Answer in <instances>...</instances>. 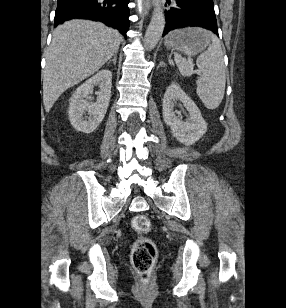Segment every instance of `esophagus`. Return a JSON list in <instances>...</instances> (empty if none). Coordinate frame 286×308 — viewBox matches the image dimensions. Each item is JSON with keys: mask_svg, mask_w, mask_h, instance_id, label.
<instances>
[{"mask_svg": "<svg viewBox=\"0 0 286 308\" xmlns=\"http://www.w3.org/2000/svg\"><path fill=\"white\" fill-rule=\"evenodd\" d=\"M140 13L147 15L151 10L150 0H137Z\"/></svg>", "mask_w": 286, "mask_h": 308, "instance_id": "1", "label": "esophagus"}]
</instances>
